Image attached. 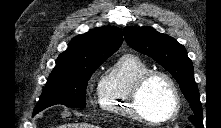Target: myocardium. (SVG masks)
<instances>
[{
  "instance_id": "myocardium-1",
  "label": "myocardium",
  "mask_w": 221,
  "mask_h": 128,
  "mask_svg": "<svg viewBox=\"0 0 221 128\" xmlns=\"http://www.w3.org/2000/svg\"><path fill=\"white\" fill-rule=\"evenodd\" d=\"M154 77H160L168 84L172 96V108L168 114L161 118L155 119L146 115L139 105V97L146 83ZM129 105L133 115L147 123L162 125L173 120L180 110V95L176 83L165 72L159 70H150L142 74L134 83L129 94Z\"/></svg>"
}]
</instances>
